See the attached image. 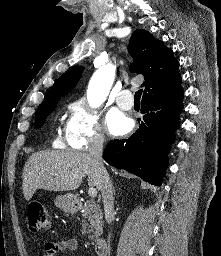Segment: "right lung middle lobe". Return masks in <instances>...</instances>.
<instances>
[{
  "instance_id": "right-lung-middle-lobe-1",
  "label": "right lung middle lobe",
  "mask_w": 221,
  "mask_h": 256,
  "mask_svg": "<svg viewBox=\"0 0 221 256\" xmlns=\"http://www.w3.org/2000/svg\"><path fill=\"white\" fill-rule=\"evenodd\" d=\"M59 99L60 97H53L41 103L35 115L36 128H40L44 124L47 116L57 106Z\"/></svg>"
}]
</instances>
